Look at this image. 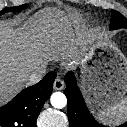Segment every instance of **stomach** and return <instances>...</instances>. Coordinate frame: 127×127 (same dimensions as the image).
Returning a JSON list of instances; mask_svg holds the SVG:
<instances>
[{
    "label": "stomach",
    "mask_w": 127,
    "mask_h": 127,
    "mask_svg": "<svg viewBox=\"0 0 127 127\" xmlns=\"http://www.w3.org/2000/svg\"><path fill=\"white\" fill-rule=\"evenodd\" d=\"M80 82L92 105L104 110L127 93V59L97 37H91L80 59Z\"/></svg>",
    "instance_id": "0dacf381"
}]
</instances>
